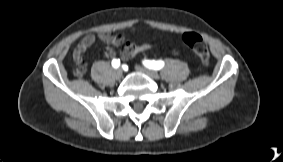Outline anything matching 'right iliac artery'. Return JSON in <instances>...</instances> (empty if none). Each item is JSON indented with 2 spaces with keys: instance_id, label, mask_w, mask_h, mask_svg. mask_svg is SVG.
Segmentation results:
<instances>
[{
  "instance_id": "82829eb1",
  "label": "right iliac artery",
  "mask_w": 283,
  "mask_h": 162,
  "mask_svg": "<svg viewBox=\"0 0 283 162\" xmlns=\"http://www.w3.org/2000/svg\"><path fill=\"white\" fill-rule=\"evenodd\" d=\"M112 66L114 68H118L120 66V60L119 59H113L112 60Z\"/></svg>"
}]
</instances>
